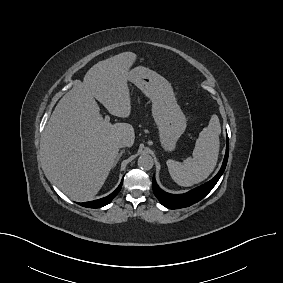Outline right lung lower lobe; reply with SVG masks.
<instances>
[{
	"instance_id": "98d812e1",
	"label": "right lung lower lobe",
	"mask_w": 283,
	"mask_h": 283,
	"mask_svg": "<svg viewBox=\"0 0 283 283\" xmlns=\"http://www.w3.org/2000/svg\"><path fill=\"white\" fill-rule=\"evenodd\" d=\"M122 184H123V180L121 181L120 185L116 188V190L112 192L110 195H108L107 197H104L98 200H94V201H90V202L78 203V204L83 207H88V208L103 207L109 204L113 200V198L119 193V191L121 190Z\"/></svg>"
}]
</instances>
